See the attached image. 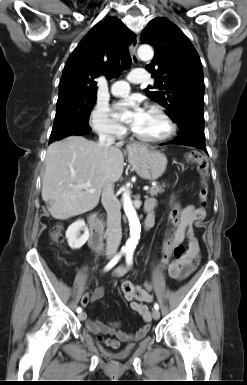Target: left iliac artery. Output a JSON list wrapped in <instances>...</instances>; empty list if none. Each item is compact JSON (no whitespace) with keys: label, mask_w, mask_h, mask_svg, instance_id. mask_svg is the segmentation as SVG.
<instances>
[{"label":"left iliac artery","mask_w":247,"mask_h":385,"mask_svg":"<svg viewBox=\"0 0 247 385\" xmlns=\"http://www.w3.org/2000/svg\"><path fill=\"white\" fill-rule=\"evenodd\" d=\"M126 263L128 265H132V263H133V251H127L126 252ZM154 309L159 310L158 303L154 304Z\"/></svg>","instance_id":"obj_1"}]
</instances>
